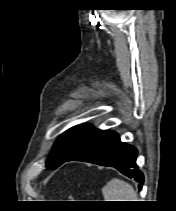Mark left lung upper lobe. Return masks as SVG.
<instances>
[{
  "label": "left lung upper lobe",
  "instance_id": "5c2ea615",
  "mask_svg": "<svg viewBox=\"0 0 176 211\" xmlns=\"http://www.w3.org/2000/svg\"><path fill=\"white\" fill-rule=\"evenodd\" d=\"M99 129L91 125L81 124L67 130L55 142L46 162L48 169H56L68 158L72 157L97 133Z\"/></svg>",
  "mask_w": 176,
  "mask_h": 211
}]
</instances>
